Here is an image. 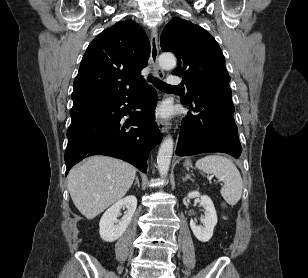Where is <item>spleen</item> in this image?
Instances as JSON below:
<instances>
[{"label": "spleen", "instance_id": "spleen-1", "mask_svg": "<svg viewBox=\"0 0 308 278\" xmlns=\"http://www.w3.org/2000/svg\"><path fill=\"white\" fill-rule=\"evenodd\" d=\"M196 168L204 173L213 174L224 182L221 195L229 205H236L243 191V181L239 170L228 158L220 155H208L196 162Z\"/></svg>", "mask_w": 308, "mask_h": 278}]
</instances>
